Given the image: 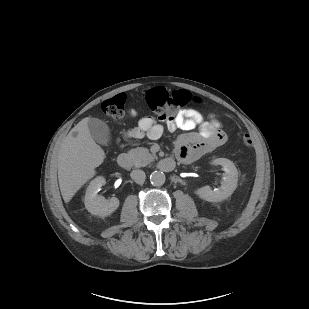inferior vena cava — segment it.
Masks as SVG:
<instances>
[{"instance_id":"1","label":"inferior vena cava","mask_w":309,"mask_h":309,"mask_svg":"<svg viewBox=\"0 0 309 309\" xmlns=\"http://www.w3.org/2000/svg\"><path fill=\"white\" fill-rule=\"evenodd\" d=\"M130 176L138 184H143L146 178L145 172L140 169L133 170Z\"/></svg>"}]
</instances>
